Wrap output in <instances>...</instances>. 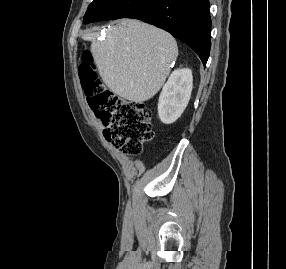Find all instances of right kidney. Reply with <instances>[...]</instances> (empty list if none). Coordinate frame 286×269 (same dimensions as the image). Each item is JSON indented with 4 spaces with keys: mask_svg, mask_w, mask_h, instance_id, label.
<instances>
[{
    "mask_svg": "<svg viewBox=\"0 0 286 269\" xmlns=\"http://www.w3.org/2000/svg\"><path fill=\"white\" fill-rule=\"evenodd\" d=\"M193 87L192 71L188 68L172 72L159 97L158 115L162 123H174L185 110Z\"/></svg>",
    "mask_w": 286,
    "mask_h": 269,
    "instance_id": "obj_1",
    "label": "right kidney"
}]
</instances>
